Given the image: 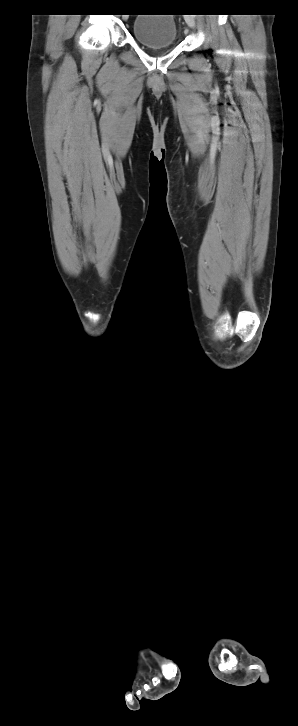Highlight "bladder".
<instances>
[{"instance_id": "bladder-1", "label": "bladder", "mask_w": 298, "mask_h": 726, "mask_svg": "<svg viewBox=\"0 0 298 726\" xmlns=\"http://www.w3.org/2000/svg\"><path fill=\"white\" fill-rule=\"evenodd\" d=\"M132 33L147 48L165 49L176 45L178 31L170 14H138L132 23Z\"/></svg>"}]
</instances>
